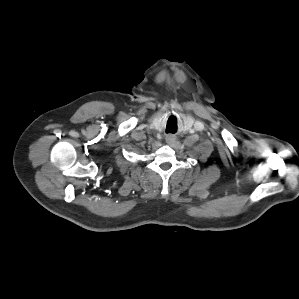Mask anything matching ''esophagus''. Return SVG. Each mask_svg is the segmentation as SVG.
<instances>
[{"label":"esophagus","instance_id":"obj_1","mask_svg":"<svg viewBox=\"0 0 299 299\" xmlns=\"http://www.w3.org/2000/svg\"><path fill=\"white\" fill-rule=\"evenodd\" d=\"M173 141H174V139H173L172 136H167V137H166V142H167L168 144L173 143Z\"/></svg>","mask_w":299,"mask_h":299}]
</instances>
